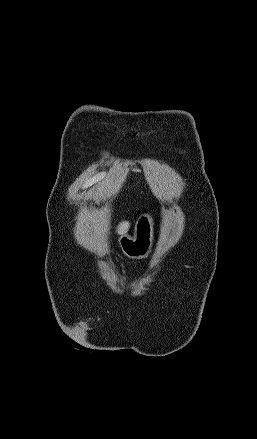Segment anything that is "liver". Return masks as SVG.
<instances>
[{
	"mask_svg": "<svg viewBox=\"0 0 257 439\" xmlns=\"http://www.w3.org/2000/svg\"><path fill=\"white\" fill-rule=\"evenodd\" d=\"M129 227H130V224L127 221L120 223L118 228H117L118 234H121V235L125 234L128 231Z\"/></svg>",
	"mask_w": 257,
	"mask_h": 439,
	"instance_id": "1",
	"label": "liver"
}]
</instances>
